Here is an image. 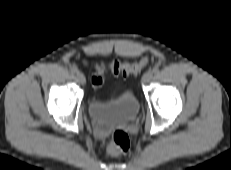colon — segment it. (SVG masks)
<instances>
[{"label":"colon","instance_id":"1","mask_svg":"<svg viewBox=\"0 0 231 170\" xmlns=\"http://www.w3.org/2000/svg\"><path fill=\"white\" fill-rule=\"evenodd\" d=\"M148 58H142L137 62H123L120 60H113L108 64H98L95 67V72L92 76V85L98 89L103 84V74L109 69L116 75L128 76L131 74H139L141 70L147 65ZM130 140L128 134L123 130L114 132L109 142L107 143L106 150L111 155H119L129 149Z\"/></svg>","mask_w":231,"mask_h":170}]
</instances>
